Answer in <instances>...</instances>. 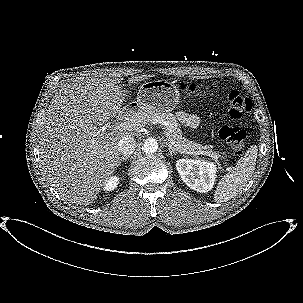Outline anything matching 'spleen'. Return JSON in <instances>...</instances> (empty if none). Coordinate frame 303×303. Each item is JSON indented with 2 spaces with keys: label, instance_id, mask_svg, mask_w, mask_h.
<instances>
[{
  "label": "spleen",
  "instance_id": "obj_1",
  "mask_svg": "<svg viewBox=\"0 0 303 303\" xmlns=\"http://www.w3.org/2000/svg\"><path fill=\"white\" fill-rule=\"evenodd\" d=\"M257 154V146H252L237 161L236 166L221 178L214 193L216 203L231 200L247 185L255 170Z\"/></svg>",
  "mask_w": 303,
  "mask_h": 303
}]
</instances>
